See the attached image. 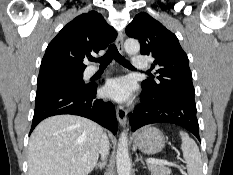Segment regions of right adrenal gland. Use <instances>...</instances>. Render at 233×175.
Returning a JSON list of instances; mask_svg holds the SVG:
<instances>
[{
  "label": "right adrenal gland",
  "instance_id": "2a0ac1e0",
  "mask_svg": "<svg viewBox=\"0 0 233 175\" xmlns=\"http://www.w3.org/2000/svg\"><path fill=\"white\" fill-rule=\"evenodd\" d=\"M105 164H106L105 161H102V162L97 163L96 166H95L96 170H98V169H99V170H102L103 167L105 166Z\"/></svg>",
  "mask_w": 233,
  "mask_h": 175
}]
</instances>
